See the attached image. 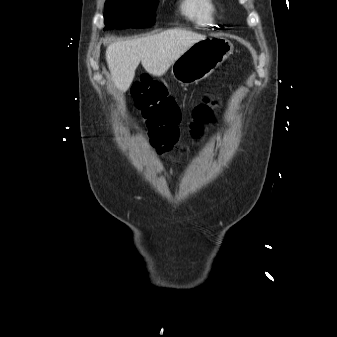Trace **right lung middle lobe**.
Here are the masks:
<instances>
[{
  "label": "right lung middle lobe",
  "instance_id": "obj_1",
  "mask_svg": "<svg viewBox=\"0 0 337 337\" xmlns=\"http://www.w3.org/2000/svg\"><path fill=\"white\" fill-rule=\"evenodd\" d=\"M157 5L158 0H107L104 30L150 27L155 22Z\"/></svg>",
  "mask_w": 337,
  "mask_h": 337
}]
</instances>
